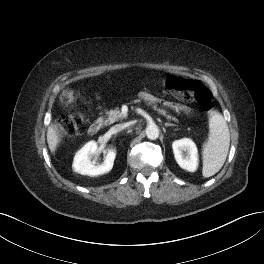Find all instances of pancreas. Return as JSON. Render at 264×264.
<instances>
[{"mask_svg":"<svg viewBox=\"0 0 264 264\" xmlns=\"http://www.w3.org/2000/svg\"><path fill=\"white\" fill-rule=\"evenodd\" d=\"M147 105H151V103L150 102H147ZM153 109L155 111H157L159 114L165 116L167 119H172V120L178 122V120L176 118H173L170 115H167L165 110L160 109V108H157L156 105H153ZM107 116H108V118L104 121V125L113 124L120 117H122V113H121V111L118 108H116L114 110H110L109 112H107Z\"/></svg>","mask_w":264,"mask_h":264,"instance_id":"pancreas-1","label":"pancreas"}]
</instances>
